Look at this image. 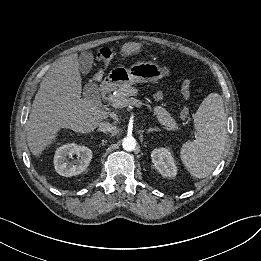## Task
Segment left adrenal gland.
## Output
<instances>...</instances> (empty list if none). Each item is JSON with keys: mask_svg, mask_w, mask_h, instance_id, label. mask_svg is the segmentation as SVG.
Wrapping results in <instances>:
<instances>
[{"mask_svg": "<svg viewBox=\"0 0 261 261\" xmlns=\"http://www.w3.org/2000/svg\"><path fill=\"white\" fill-rule=\"evenodd\" d=\"M157 131H160V129L159 128H152V127H150L148 130H147V133H151V132H157Z\"/></svg>", "mask_w": 261, "mask_h": 261, "instance_id": "1", "label": "left adrenal gland"}]
</instances>
